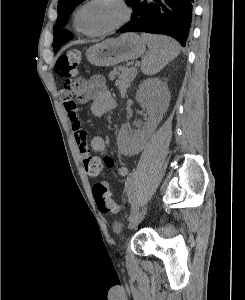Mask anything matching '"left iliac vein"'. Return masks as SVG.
<instances>
[{
  "label": "left iliac vein",
  "instance_id": "4c4485c4",
  "mask_svg": "<svg viewBox=\"0 0 245 300\" xmlns=\"http://www.w3.org/2000/svg\"><path fill=\"white\" fill-rule=\"evenodd\" d=\"M147 206H144L140 212H138L129 223V229H133L143 220L147 212Z\"/></svg>",
  "mask_w": 245,
  "mask_h": 300
}]
</instances>
